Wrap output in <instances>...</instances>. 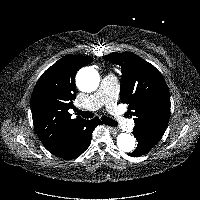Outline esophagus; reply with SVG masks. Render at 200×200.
Masks as SVG:
<instances>
[{
  "label": "esophagus",
  "instance_id": "1",
  "mask_svg": "<svg viewBox=\"0 0 200 200\" xmlns=\"http://www.w3.org/2000/svg\"><path fill=\"white\" fill-rule=\"evenodd\" d=\"M109 129H110V131H111L112 133H115V134L119 131V129L116 128V127H109Z\"/></svg>",
  "mask_w": 200,
  "mask_h": 200
}]
</instances>
